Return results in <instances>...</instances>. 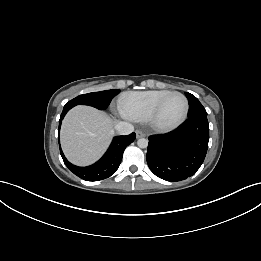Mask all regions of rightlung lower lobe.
Listing matches in <instances>:
<instances>
[{
	"instance_id": "obj_1",
	"label": "right lung lower lobe",
	"mask_w": 261,
	"mask_h": 261,
	"mask_svg": "<svg viewBox=\"0 0 261 261\" xmlns=\"http://www.w3.org/2000/svg\"><path fill=\"white\" fill-rule=\"evenodd\" d=\"M70 109V107H64L59 120V130L64 116ZM135 138V133L115 137L104 156L93 165L87 167H78L71 164L65 158L61 148L60 152L65 165L72 173L86 181H98L106 179L116 172L121 163L125 148L131 144Z\"/></svg>"
}]
</instances>
